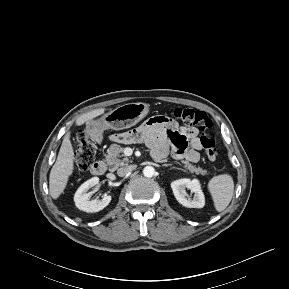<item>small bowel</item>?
I'll return each instance as SVG.
<instances>
[{
	"instance_id": "1",
	"label": "small bowel",
	"mask_w": 289,
	"mask_h": 289,
	"mask_svg": "<svg viewBox=\"0 0 289 289\" xmlns=\"http://www.w3.org/2000/svg\"><path fill=\"white\" fill-rule=\"evenodd\" d=\"M113 140L118 142L143 141L152 149L155 159L165 158L169 153V146H171L174 158L198 162L199 151L202 149L201 139L198 137L196 128L180 126L166 117L151 118L130 132L114 135Z\"/></svg>"
}]
</instances>
